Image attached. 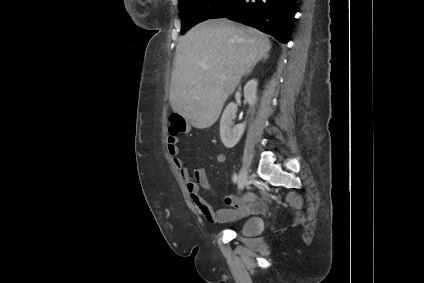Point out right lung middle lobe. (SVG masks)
I'll use <instances>...</instances> for the list:
<instances>
[{
  "mask_svg": "<svg viewBox=\"0 0 424 283\" xmlns=\"http://www.w3.org/2000/svg\"><path fill=\"white\" fill-rule=\"evenodd\" d=\"M230 0H179V11L182 21L181 34L186 33L194 25L210 19Z\"/></svg>",
  "mask_w": 424,
  "mask_h": 283,
  "instance_id": "right-lung-middle-lobe-1",
  "label": "right lung middle lobe"
}]
</instances>
